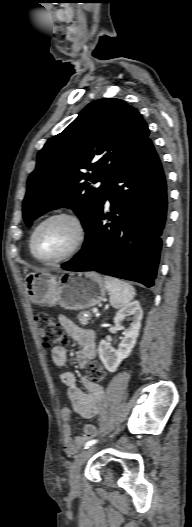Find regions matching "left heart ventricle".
Returning <instances> with one entry per match:
<instances>
[{
  "label": "left heart ventricle",
  "instance_id": "b2bd125f",
  "mask_svg": "<svg viewBox=\"0 0 192 527\" xmlns=\"http://www.w3.org/2000/svg\"><path fill=\"white\" fill-rule=\"evenodd\" d=\"M76 235V227L72 221L66 218L50 220L37 234L36 251L46 259L61 256L72 247Z\"/></svg>",
  "mask_w": 192,
  "mask_h": 527
}]
</instances>
